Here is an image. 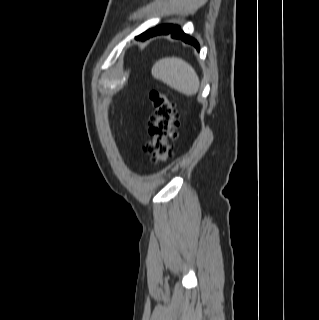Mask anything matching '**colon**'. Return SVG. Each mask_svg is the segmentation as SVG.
Listing matches in <instances>:
<instances>
[{
	"instance_id": "5ec220e1",
	"label": "colon",
	"mask_w": 319,
	"mask_h": 320,
	"mask_svg": "<svg viewBox=\"0 0 319 320\" xmlns=\"http://www.w3.org/2000/svg\"><path fill=\"white\" fill-rule=\"evenodd\" d=\"M148 96L153 112L148 129L151 139L145 145L144 151L150 155L153 162L163 163L173 153L180 121L173 103L165 92L151 89Z\"/></svg>"
}]
</instances>
